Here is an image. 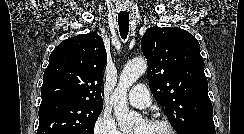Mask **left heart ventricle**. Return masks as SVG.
Masks as SVG:
<instances>
[{"mask_svg": "<svg viewBox=\"0 0 244 134\" xmlns=\"http://www.w3.org/2000/svg\"><path fill=\"white\" fill-rule=\"evenodd\" d=\"M132 134H170V132L164 126L149 125L142 122L135 128Z\"/></svg>", "mask_w": 244, "mask_h": 134, "instance_id": "obj_1", "label": "left heart ventricle"}]
</instances>
